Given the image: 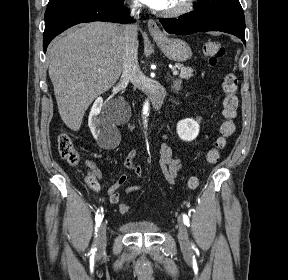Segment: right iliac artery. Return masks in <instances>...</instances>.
<instances>
[{
	"label": "right iliac artery",
	"instance_id": "82829eb1",
	"mask_svg": "<svg viewBox=\"0 0 288 280\" xmlns=\"http://www.w3.org/2000/svg\"><path fill=\"white\" fill-rule=\"evenodd\" d=\"M103 217H104L103 208H99L97 210L96 216H95V237H97V232H98L100 224H101V222L103 220ZM95 252H96V247L93 246V248L91 249L92 256H94Z\"/></svg>",
	"mask_w": 288,
	"mask_h": 280
}]
</instances>
